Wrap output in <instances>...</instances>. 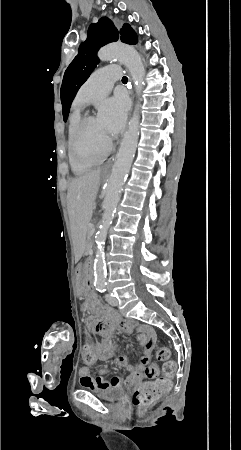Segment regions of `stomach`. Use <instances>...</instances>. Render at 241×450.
Instances as JSON below:
<instances>
[{"instance_id":"obj_1","label":"stomach","mask_w":241,"mask_h":450,"mask_svg":"<svg viewBox=\"0 0 241 450\" xmlns=\"http://www.w3.org/2000/svg\"><path fill=\"white\" fill-rule=\"evenodd\" d=\"M75 284L78 290L83 291L85 274L81 264H79L76 268Z\"/></svg>"}]
</instances>
